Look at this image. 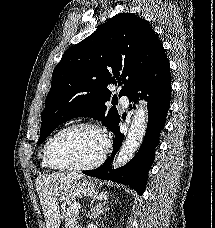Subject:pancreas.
Here are the masks:
<instances>
[{
	"instance_id": "1",
	"label": "pancreas",
	"mask_w": 215,
	"mask_h": 228,
	"mask_svg": "<svg viewBox=\"0 0 215 228\" xmlns=\"http://www.w3.org/2000/svg\"><path fill=\"white\" fill-rule=\"evenodd\" d=\"M77 220H79V212L78 210H73L71 204L70 208H67L65 212L64 228H75L77 226Z\"/></svg>"
}]
</instances>
